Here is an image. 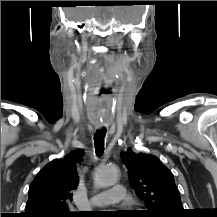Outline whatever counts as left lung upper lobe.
Returning a JSON list of instances; mask_svg holds the SVG:
<instances>
[{"label": "left lung upper lobe", "mask_w": 217, "mask_h": 217, "mask_svg": "<svg viewBox=\"0 0 217 217\" xmlns=\"http://www.w3.org/2000/svg\"><path fill=\"white\" fill-rule=\"evenodd\" d=\"M121 159L128 169L130 185L143 199L149 217H182L181 198L173 174L153 155L134 153L131 148L121 152Z\"/></svg>", "instance_id": "1"}]
</instances>
